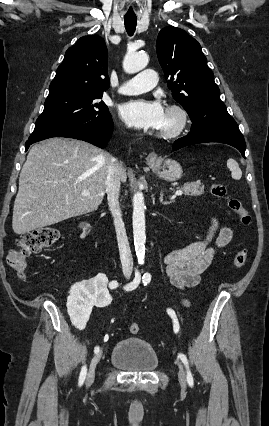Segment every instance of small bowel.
Instances as JSON below:
<instances>
[{
    "label": "small bowel",
    "instance_id": "1",
    "mask_svg": "<svg viewBox=\"0 0 269 426\" xmlns=\"http://www.w3.org/2000/svg\"><path fill=\"white\" fill-rule=\"evenodd\" d=\"M232 237L230 227H219L216 221H212L202 239L170 251L164 261L171 284L179 290L195 287L201 274L212 265L216 250L225 247ZM211 241L214 246L209 245ZM182 303L189 305L186 299Z\"/></svg>",
    "mask_w": 269,
    "mask_h": 426
}]
</instances>
